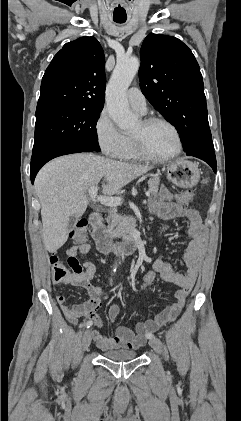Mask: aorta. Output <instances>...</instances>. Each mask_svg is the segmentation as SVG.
<instances>
[{"instance_id": "1", "label": "aorta", "mask_w": 241, "mask_h": 421, "mask_svg": "<svg viewBox=\"0 0 241 421\" xmlns=\"http://www.w3.org/2000/svg\"><path fill=\"white\" fill-rule=\"evenodd\" d=\"M140 61L136 57L119 60L106 88L109 115L121 129L133 127L137 117L129 110L126 91L138 72Z\"/></svg>"}]
</instances>
